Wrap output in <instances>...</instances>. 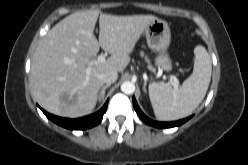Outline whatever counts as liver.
<instances>
[{
    "instance_id": "1",
    "label": "liver",
    "mask_w": 248,
    "mask_h": 165,
    "mask_svg": "<svg viewBox=\"0 0 248 165\" xmlns=\"http://www.w3.org/2000/svg\"><path fill=\"white\" fill-rule=\"evenodd\" d=\"M98 18L99 40L93 33ZM155 19L152 15L114 16L86 10L61 20L39 41L32 59L30 87L38 104L63 117L92 112L103 86L102 75L127 67L129 54ZM100 47L111 55L104 63H96Z\"/></svg>"
}]
</instances>
